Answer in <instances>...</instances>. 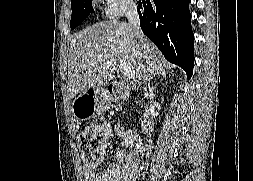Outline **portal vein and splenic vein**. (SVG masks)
Masks as SVG:
<instances>
[{"label": "portal vein and splenic vein", "instance_id": "18ae733b", "mask_svg": "<svg viewBox=\"0 0 253 181\" xmlns=\"http://www.w3.org/2000/svg\"><path fill=\"white\" fill-rule=\"evenodd\" d=\"M119 66L123 69L124 75L129 79H135V70L130 62L125 59L119 60Z\"/></svg>", "mask_w": 253, "mask_h": 181}]
</instances>
